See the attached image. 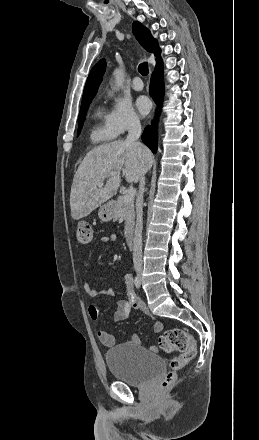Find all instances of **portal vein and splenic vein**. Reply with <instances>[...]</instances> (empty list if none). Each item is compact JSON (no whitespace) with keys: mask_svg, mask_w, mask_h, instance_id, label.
<instances>
[{"mask_svg":"<svg viewBox=\"0 0 259 440\" xmlns=\"http://www.w3.org/2000/svg\"><path fill=\"white\" fill-rule=\"evenodd\" d=\"M103 184H104L103 182H100V183H98V186L102 187ZM135 192L136 191H135V189L133 187H129L127 192H126V195L124 196V202L132 201L134 199Z\"/></svg>","mask_w":259,"mask_h":440,"instance_id":"18ae733b","label":"portal vein and splenic vein"}]
</instances>
